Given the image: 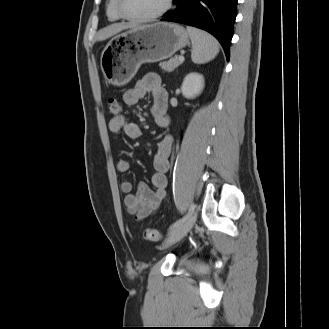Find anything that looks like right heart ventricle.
<instances>
[{
  "label": "right heart ventricle",
  "mask_w": 329,
  "mask_h": 329,
  "mask_svg": "<svg viewBox=\"0 0 329 329\" xmlns=\"http://www.w3.org/2000/svg\"><path fill=\"white\" fill-rule=\"evenodd\" d=\"M107 16L111 21H118L122 19L116 9V0H108L107 3Z\"/></svg>",
  "instance_id": "1"
}]
</instances>
